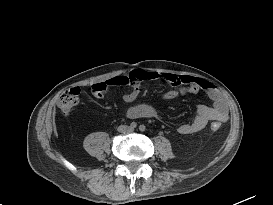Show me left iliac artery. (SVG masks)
<instances>
[{"label":"left iliac artery","mask_w":273,"mask_h":205,"mask_svg":"<svg viewBox=\"0 0 273 205\" xmlns=\"http://www.w3.org/2000/svg\"><path fill=\"white\" fill-rule=\"evenodd\" d=\"M139 129H140V131H145V130H146V127H145L144 125H140V126H139Z\"/></svg>","instance_id":"obj_1"}]
</instances>
